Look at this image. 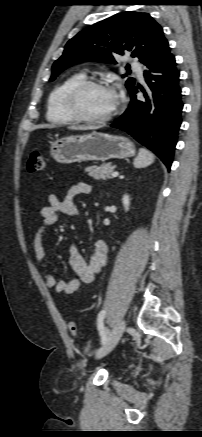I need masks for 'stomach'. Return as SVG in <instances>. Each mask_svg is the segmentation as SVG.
Returning a JSON list of instances; mask_svg holds the SVG:
<instances>
[{"label": "stomach", "instance_id": "stomach-1", "mask_svg": "<svg viewBox=\"0 0 202 437\" xmlns=\"http://www.w3.org/2000/svg\"><path fill=\"white\" fill-rule=\"evenodd\" d=\"M133 143L124 136L92 132L69 136L51 144L50 155L59 163L107 161L134 156Z\"/></svg>", "mask_w": 202, "mask_h": 437}]
</instances>
